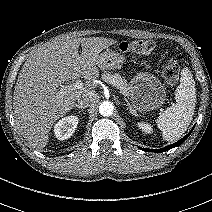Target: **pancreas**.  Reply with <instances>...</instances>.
Instances as JSON below:
<instances>
[{
  "instance_id": "1",
  "label": "pancreas",
  "mask_w": 212,
  "mask_h": 212,
  "mask_svg": "<svg viewBox=\"0 0 212 212\" xmlns=\"http://www.w3.org/2000/svg\"><path fill=\"white\" fill-rule=\"evenodd\" d=\"M102 79L105 82L115 86L122 93L124 94L128 93V86L126 80L123 79L119 74H103Z\"/></svg>"
}]
</instances>
